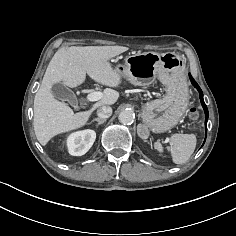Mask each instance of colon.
Wrapping results in <instances>:
<instances>
[{
    "label": "colon",
    "mask_w": 236,
    "mask_h": 236,
    "mask_svg": "<svg viewBox=\"0 0 236 236\" xmlns=\"http://www.w3.org/2000/svg\"><path fill=\"white\" fill-rule=\"evenodd\" d=\"M198 116L199 114L196 109L192 108L189 110L188 117L193 123H195L198 120Z\"/></svg>",
    "instance_id": "1"
}]
</instances>
